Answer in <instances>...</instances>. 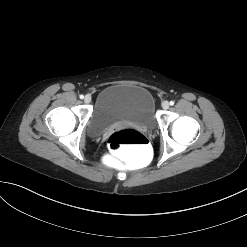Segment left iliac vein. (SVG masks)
I'll return each instance as SVG.
<instances>
[{"instance_id": "obj_1", "label": "left iliac vein", "mask_w": 247, "mask_h": 247, "mask_svg": "<svg viewBox=\"0 0 247 247\" xmlns=\"http://www.w3.org/2000/svg\"><path fill=\"white\" fill-rule=\"evenodd\" d=\"M162 108H163V109H168V108H169V102H168V101H164V102L162 103Z\"/></svg>"}]
</instances>
